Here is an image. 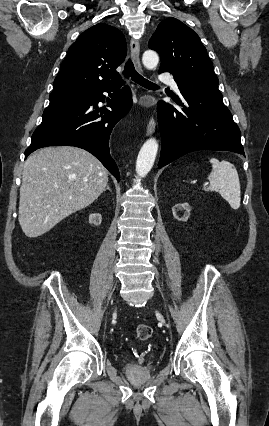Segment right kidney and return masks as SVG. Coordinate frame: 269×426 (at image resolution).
<instances>
[{
	"label": "right kidney",
	"instance_id": "1",
	"mask_svg": "<svg viewBox=\"0 0 269 426\" xmlns=\"http://www.w3.org/2000/svg\"><path fill=\"white\" fill-rule=\"evenodd\" d=\"M90 221L88 222L90 225H99L102 220V216L99 213L90 214Z\"/></svg>",
	"mask_w": 269,
	"mask_h": 426
}]
</instances>
